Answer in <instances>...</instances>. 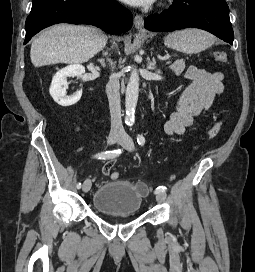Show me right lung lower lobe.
<instances>
[{
    "label": "right lung lower lobe",
    "mask_w": 255,
    "mask_h": 272,
    "mask_svg": "<svg viewBox=\"0 0 255 272\" xmlns=\"http://www.w3.org/2000/svg\"><path fill=\"white\" fill-rule=\"evenodd\" d=\"M57 23L90 24L107 33H122L131 28L133 17L115 0H33L25 23L24 44Z\"/></svg>",
    "instance_id": "right-lung-lower-lobe-1"
}]
</instances>
